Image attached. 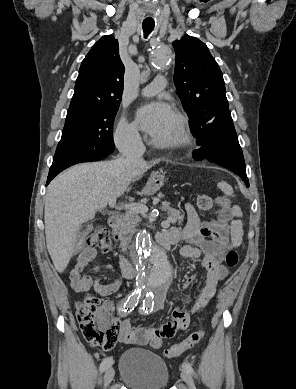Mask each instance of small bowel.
Instances as JSON below:
<instances>
[{
	"instance_id": "small-bowel-1",
	"label": "small bowel",
	"mask_w": 296,
	"mask_h": 389,
	"mask_svg": "<svg viewBox=\"0 0 296 389\" xmlns=\"http://www.w3.org/2000/svg\"><path fill=\"white\" fill-rule=\"evenodd\" d=\"M185 210L187 224L183 230L174 227L161 233L158 237L167 235L176 242L182 241L184 245L180 250L181 256L197 261L206 270L205 283L193 301V312H199L214 296L219 282L225 279L229 273L223 264V259L225 250L230 246L229 221L232 218V211L225 199L218 200L217 219L209 222H202L190 203L185 204ZM207 238H212V240ZM96 254V250L92 247H86L80 252L76 264L70 272L71 286L76 292L93 289L100 296L107 297L119 290L121 280L116 279L113 282L102 284L98 278L83 273L87 264L96 257ZM98 270V266L92 268L93 273ZM191 280V275L187 274L184 280L186 287L191 283ZM187 302L188 297H183V305ZM103 306L109 313L115 310V303L111 300L104 301ZM189 325V314L183 306H179L173 310L172 320L160 327L137 328L131 324L129 319H124L120 323L119 339L120 342L128 345H151L153 348H160L165 340L174 338L179 331L187 329Z\"/></svg>"
}]
</instances>
